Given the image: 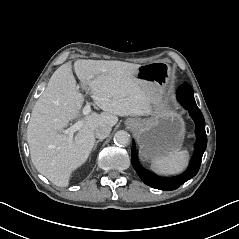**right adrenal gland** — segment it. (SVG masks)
I'll return each mask as SVG.
<instances>
[{"mask_svg": "<svg viewBox=\"0 0 239 239\" xmlns=\"http://www.w3.org/2000/svg\"><path fill=\"white\" fill-rule=\"evenodd\" d=\"M102 141H103V139L97 140V141L95 142V144H94L93 150H95L96 147H97V145H98V143H99V142H102Z\"/></svg>", "mask_w": 239, "mask_h": 239, "instance_id": "right-adrenal-gland-1", "label": "right adrenal gland"}]
</instances>
